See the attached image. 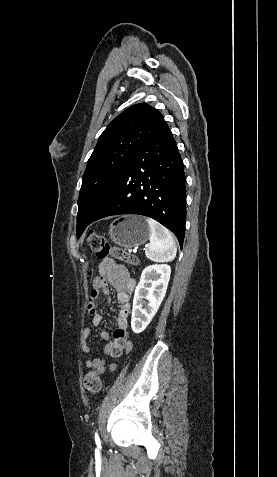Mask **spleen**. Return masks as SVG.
Here are the masks:
<instances>
[{"label":"spleen","mask_w":277,"mask_h":477,"mask_svg":"<svg viewBox=\"0 0 277 477\" xmlns=\"http://www.w3.org/2000/svg\"><path fill=\"white\" fill-rule=\"evenodd\" d=\"M146 221L150 228L146 257L155 262L172 261L176 256L177 246L171 232L151 218Z\"/></svg>","instance_id":"1"}]
</instances>
